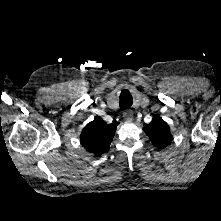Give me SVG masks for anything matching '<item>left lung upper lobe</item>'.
<instances>
[{"instance_id":"1","label":"left lung upper lobe","mask_w":221,"mask_h":221,"mask_svg":"<svg viewBox=\"0 0 221 221\" xmlns=\"http://www.w3.org/2000/svg\"><path fill=\"white\" fill-rule=\"evenodd\" d=\"M143 130L159 149L166 147L173 139L168 124L158 115H154L152 121L144 125Z\"/></svg>"}]
</instances>
